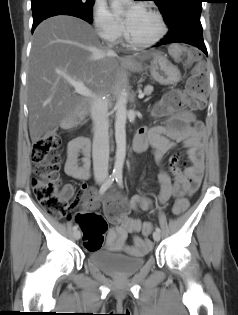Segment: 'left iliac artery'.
Segmentation results:
<instances>
[{"instance_id": "obj_1", "label": "left iliac artery", "mask_w": 238, "mask_h": 315, "mask_svg": "<svg viewBox=\"0 0 238 315\" xmlns=\"http://www.w3.org/2000/svg\"><path fill=\"white\" fill-rule=\"evenodd\" d=\"M116 182L117 184L122 188L123 187V177H122V173H118L117 177H116ZM155 230L157 232H161L160 228L158 226H156Z\"/></svg>"}]
</instances>
